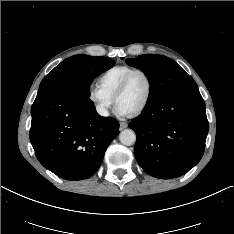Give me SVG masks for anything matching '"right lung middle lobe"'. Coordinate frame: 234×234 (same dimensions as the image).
I'll list each match as a JSON object with an SVG mask.
<instances>
[{
  "label": "right lung middle lobe",
  "instance_id": "right-lung-middle-lobe-1",
  "mask_svg": "<svg viewBox=\"0 0 234 234\" xmlns=\"http://www.w3.org/2000/svg\"><path fill=\"white\" fill-rule=\"evenodd\" d=\"M114 63L113 60L101 56H71L44 77L39 89L68 82L80 94L89 98V87L93 79L113 67Z\"/></svg>",
  "mask_w": 234,
  "mask_h": 234
}]
</instances>
